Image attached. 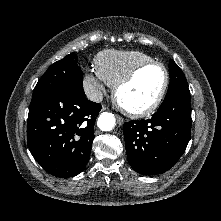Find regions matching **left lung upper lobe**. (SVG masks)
I'll return each mask as SVG.
<instances>
[{"mask_svg": "<svg viewBox=\"0 0 221 221\" xmlns=\"http://www.w3.org/2000/svg\"><path fill=\"white\" fill-rule=\"evenodd\" d=\"M169 74L170 83L164 100H167L180 92L189 91L184 73L173 60H170L169 62Z\"/></svg>", "mask_w": 221, "mask_h": 221, "instance_id": "left-lung-upper-lobe-1", "label": "left lung upper lobe"}]
</instances>
